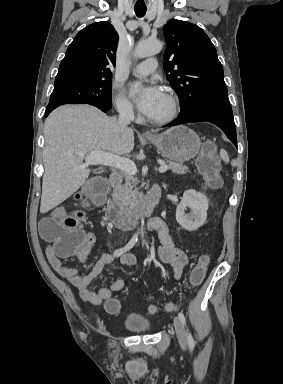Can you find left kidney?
Masks as SVG:
<instances>
[{
  "label": "left kidney",
  "mask_w": 283,
  "mask_h": 384,
  "mask_svg": "<svg viewBox=\"0 0 283 384\" xmlns=\"http://www.w3.org/2000/svg\"><path fill=\"white\" fill-rule=\"evenodd\" d=\"M190 208V214H185V210ZM208 200L207 196L195 190H186L181 198L180 204L176 208V220L184 230L194 232L203 226L207 218Z\"/></svg>",
  "instance_id": "obj_1"
}]
</instances>
